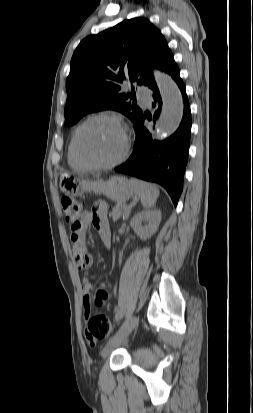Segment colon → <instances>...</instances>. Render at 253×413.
Returning a JSON list of instances; mask_svg holds the SVG:
<instances>
[{"label":"colon","instance_id":"colon-1","mask_svg":"<svg viewBox=\"0 0 253 413\" xmlns=\"http://www.w3.org/2000/svg\"><path fill=\"white\" fill-rule=\"evenodd\" d=\"M61 205L64 213L65 220L72 224L77 225L80 217V204L73 197L64 195L61 198ZM110 298L108 286L105 285L97 290L92 302L96 306H102L106 300ZM88 325L86 330V338L88 342L93 344L98 339H104L112 332V325L106 315L101 312L91 313L87 312Z\"/></svg>","mask_w":253,"mask_h":413}]
</instances>
